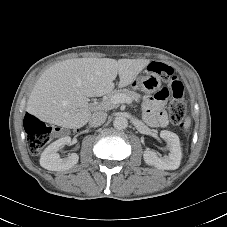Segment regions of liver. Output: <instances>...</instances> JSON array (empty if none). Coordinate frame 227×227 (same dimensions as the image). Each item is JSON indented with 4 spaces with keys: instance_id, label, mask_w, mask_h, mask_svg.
<instances>
[{
    "instance_id": "1",
    "label": "liver",
    "mask_w": 227,
    "mask_h": 227,
    "mask_svg": "<svg viewBox=\"0 0 227 227\" xmlns=\"http://www.w3.org/2000/svg\"><path fill=\"white\" fill-rule=\"evenodd\" d=\"M149 59L76 58L59 62L39 77L27 101V112L41 121L68 129L84 126L91 117L86 97L130 85Z\"/></svg>"
}]
</instances>
